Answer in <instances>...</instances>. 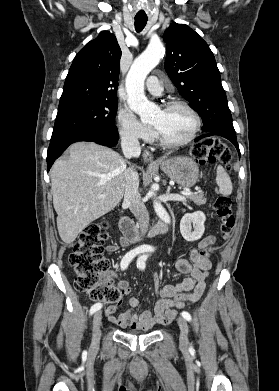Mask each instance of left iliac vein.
Returning a JSON list of instances; mask_svg holds the SVG:
<instances>
[{
    "mask_svg": "<svg viewBox=\"0 0 279 391\" xmlns=\"http://www.w3.org/2000/svg\"><path fill=\"white\" fill-rule=\"evenodd\" d=\"M177 323L180 328V338H179L180 347L183 349H187L189 345V341H188L189 329H188L187 321L183 317H178Z\"/></svg>",
    "mask_w": 279,
    "mask_h": 391,
    "instance_id": "left-iliac-vein-1",
    "label": "left iliac vein"
}]
</instances>
